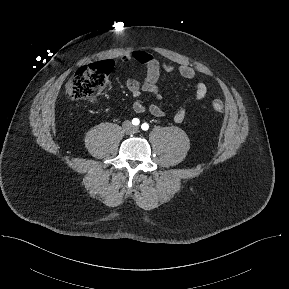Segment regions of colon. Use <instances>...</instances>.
<instances>
[{
  "instance_id": "5ec220e1",
  "label": "colon",
  "mask_w": 289,
  "mask_h": 289,
  "mask_svg": "<svg viewBox=\"0 0 289 289\" xmlns=\"http://www.w3.org/2000/svg\"><path fill=\"white\" fill-rule=\"evenodd\" d=\"M112 70L113 64L109 61L81 67L66 83L65 92L72 99H87L95 103L97 98L107 89ZM212 107L215 111L222 112L224 103L221 99H214Z\"/></svg>"
}]
</instances>
